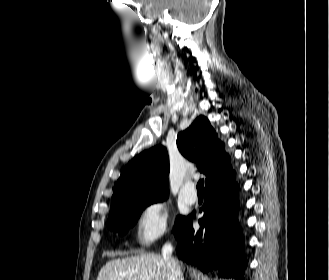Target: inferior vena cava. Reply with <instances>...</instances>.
Segmentation results:
<instances>
[{"label":"inferior vena cava","instance_id":"obj_1","mask_svg":"<svg viewBox=\"0 0 329 280\" xmlns=\"http://www.w3.org/2000/svg\"><path fill=\"white\" fill-rule=\"evenodd\" d=\"M173 247L171 243H165L162 247V257L170 270L171 280H183V273L179 262L172 257Z\"/></svg>","mask_w":329,"mask_h":280}]
</instances>
